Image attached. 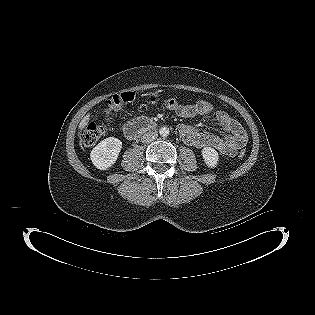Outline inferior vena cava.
I'll return each mask as SVG.
<instances>
[{
  "instance_id": "1",
  "label": "inferior vena cava",
  "mask_w": 315,
  "mask_h": 315,
  "mask_svg": "<svg viewBox=\"0 0 315 315\" xmlns=\"http://www.w3.org/2000/svg\"><path fill=\"white\" fill-rule=\"evenodd\" d=\"M157 137H158V134L156 132L150 131V132L145 133L142 136L141 140L143 143H151L152 141L157 139Z\"/></svg>"
}]
</instances>
